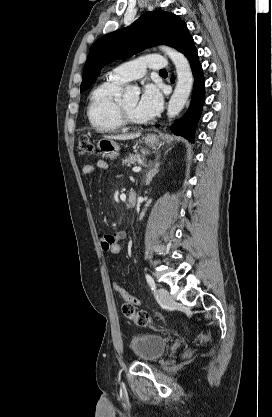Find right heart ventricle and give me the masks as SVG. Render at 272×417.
Wrapping results in <instances>:
<instances>
[{"label":"right heart ventricle","mask_w":272,"mask_h":417,"mask_svg":"<svg viewBox=\"0 0 272 417\" xmlns=\"http://www.w3.org/2000/svg\"><path fill=\"white\" fill-rule=\"evenodd\" d=\"M123 84L108 77L90 94L87 116L91 126L100 133L111 134L122 129L118 117V98Z\"/></svg>","instance_id":"e07e8e85"}]
</instances>
